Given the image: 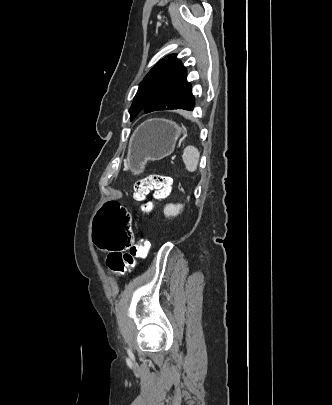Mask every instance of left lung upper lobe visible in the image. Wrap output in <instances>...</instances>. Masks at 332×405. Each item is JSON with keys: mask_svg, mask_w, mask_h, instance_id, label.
<instances>
[{"mask_svg": "<svg viewBox=\"0 0 332 405\" xmlns=\"http://www.w3.org/2000/svg\"><path fill=\"white\" fill-rule=\"evenodd\" d=\"M186 77V68L176 58V54L160 60L139 85L129 109L131 120L145 108H150V111L193 110L195 99Z\"/></svg>", "mask_w": 332, "mask_h": 405, "instance_id": "1", "label": "left lung upper lobe"}]
</instances>
